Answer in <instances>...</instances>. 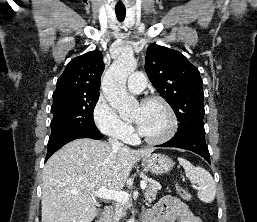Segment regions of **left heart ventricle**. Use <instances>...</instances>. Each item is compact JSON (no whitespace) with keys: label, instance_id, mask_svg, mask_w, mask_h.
I'll return each mask as SVG.
<instances>
[{"label":"left heart ventricle","instance_id":"1","mask_svg":"<svg viewBox=\"0 0 257 222\" xmlns=\"http://www.w3.org/2000/svg\"><path fill=\"white\" fill-rule=\"evenodd\" d=\"M131 121L134 122L140 134L155 138L163 135L169 128V115L158 102L138 105L133 111Z\"/></svg>","mask_w":257,"mask_h":222}]
</instances>
